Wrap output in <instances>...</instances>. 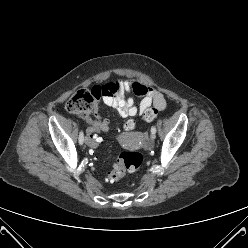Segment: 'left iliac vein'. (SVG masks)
I'll return each instance as SVG.
<instances>
[{
    "mask_svg": "<svg viewBox=\"0 0 248 248\" xmlns=\"http://www.w3.org/2000/svg\"><path fill=\"white\" fill-rule=\"evenodd\" d=\"M150 138H151V141H154V139H155V134H154V133H151Z\"/></svg>",
    "mask_w": 248,
    "mask_h": 248,
    "instance_id": "obj_1",
    "label": "left iliac vein"
}]
</instances>
